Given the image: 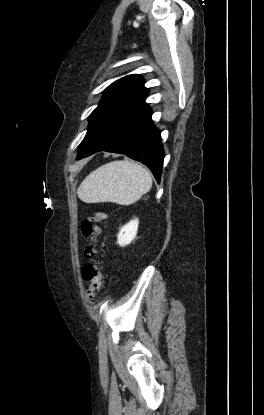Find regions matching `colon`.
I'll return each mask as SVG.
<instances>
[{"mask_svg":"<svg viewBox=\"0 0 264 415\" xmlns=\"http://www.w3.org/2000/svg\"><path fill=\"white\" fill-rule=\"evenodd\" d=\"M107 217L105 211H93L88 217L82 220L81 222V232L84 237L90 238L93 235L94 224L104 220ZM85 259L86 263L84 265V278L89 282V287L87 289V296L94 300L100 291L103 272L102 267L98 265L95 261V258L98 257L99 252L89 247L85 250Z\"/></svg>","mask_w":264,"mask_h":415,"instance_id":"5ec220e1","label":"colon"}]
</instances>
